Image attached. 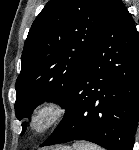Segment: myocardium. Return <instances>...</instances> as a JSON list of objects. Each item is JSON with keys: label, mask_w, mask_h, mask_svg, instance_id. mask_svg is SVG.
I'll return each instance as SVG.
<instances>
[{"label": "myocardium", "mask_w": 139, "mask_h": 150, "mask_svg": "<svg viewBox=\"0 0 139 150\" xmlns=\"http://www.w3.org/2000/svg\"><path fill=\"white\" fill-rule=\"evenodd\" d=\"M66 112L64 103L59 99H46L33 110L29 129L36 135H42L57 126L64 119Z\"/></svg>", "instance_id": "f54148a6"}]
</instances>
